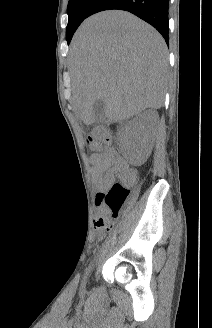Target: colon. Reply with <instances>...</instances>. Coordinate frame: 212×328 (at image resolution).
Masks as SVG:
<instances>
[{"instance_id":"colon-1","label":"colon","mask_w":212,"mask_h":328,"mask_svg":"<svg viewBox=\"0 0 212 328\" xmlns=\"http://www.w3.org/2000/svg\"><path fill=\"white\" fill-rule=\"evenodd\" d=\"M87 140L93 144L108 145L111 139L107 131L102 128H95L88 135ZM128 195V187L118 182L98 193L97 205L100 208V214L96 220V225L100 229L107 231L113 226L114 219L119 215Z\"/></svg>"}]
</instances>
